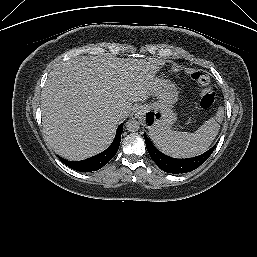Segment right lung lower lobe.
I'll return each instance as SVG.
<instances>
[{
    "label": "right lung lower lobe",
    "mask_w": 257,
    "mask_h": 257,
    "mask_svg": "<svg viewBox=\"0 0 257 257\" xmlns=\"http://www.w3.org/2000/svg\"><path fill=\"white\" fill-rule=\"evenodd\" d=\"M123 123L119 125L116 136L111 145L103 152L81 161H68L58 156V158L68 167L82 172L96 171L110 161L118 151L121 142Z\"/></svg>",
    "instance_id": "right-lung-lower-lobe-1"
}]
</instances>
